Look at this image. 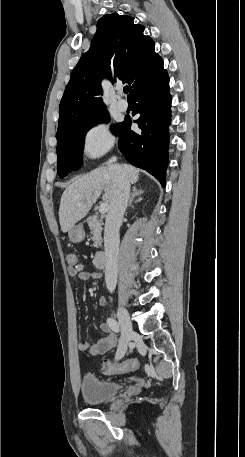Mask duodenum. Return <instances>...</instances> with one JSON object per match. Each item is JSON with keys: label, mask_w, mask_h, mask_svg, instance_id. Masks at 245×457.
Masks as SVG:
<instances>
[{"label": "duodenum", "mask_w": 245, "mask_h": 457, "mask_svg": "<svg viewBox=\"0 0 245 457\" xmlns=\"http://www.w3.org/2000/svg\"><path fill=\"white\" fill-rule=\"evenodd\" d=\"M106 262H107V255L105 252L100 251V252L96 253L94 260H93L95 267H97L99 269L103 268L106 265Z\"/></svg>", "instance_id": "1"}]
</instances>
